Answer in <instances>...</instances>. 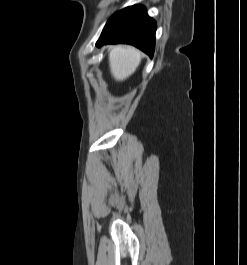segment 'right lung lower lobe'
Listing matches in <instances>:
<instances>
[{
  "instance_id": "1",
  "label": "right lung lower lobe",
  "mask_w": 247,
  "mask_h": 265,
  "mask_svg": "<svg viewBox=\"0 0 247 265\" xmlns=\"http://www.w3.org/2000/svg\"><path fill=\"white\" fill-rule=\"evenodd\" d=\"M155 21L147 15L146 9L134 5L115 13L106 23L97 45L132 44L149 56L155 47Z\"/></svg>"
}]
</instances>
